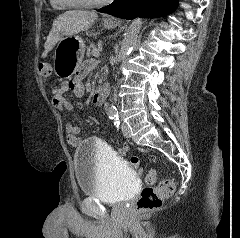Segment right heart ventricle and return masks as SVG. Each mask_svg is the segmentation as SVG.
<instances>
[{
  "mask_svg": "<svg viewBox=\"0 0 240 238\" xmlns=\"http://www.w3.org/2000/svg\"><path fill=\"white\" fill-rule=\"evenodd\" d=\"M52 5L54 6H61V7H72L67 4V0H50Z\"/></svg>",
  "mask_w": 240,
  "mask_h": 238,
  "instance_id": "right-heart-ventricle-1",
  "label": "right heart ventricle"
}]
</instances>
